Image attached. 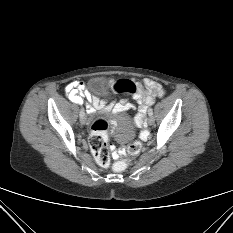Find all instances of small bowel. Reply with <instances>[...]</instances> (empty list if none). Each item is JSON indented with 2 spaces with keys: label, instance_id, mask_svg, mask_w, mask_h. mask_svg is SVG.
Here are the masks:
<instances>
[{
  "label": "small bowel",
  "instance_id": "c3829d8e",
  "mask_svg": "<svg viewBox=\"0 0 233 233\" xmlns=\"http://www.w3.org/2000/svg\"><path fill=\"white\" fill-rule=\"evenodd\" d=\"M134 83L136 85V91L133 93V97L138 103V113L135 117V123L140 125L148 107L155 102L157 97H162L165 90L160 83L149 78ZM65 93L72 102L76 104L85 103L89 113L100 111L116 115L133 107L132 104L125 101L116 103L109 98H99L97 95L88 91L85 84L78 80L66 85ZM124 153V149L114 148L112 155L114 159H119Z\"/></svg>",
  "mask_w": 233,
  "mask_h": 233
}]
</instances>
